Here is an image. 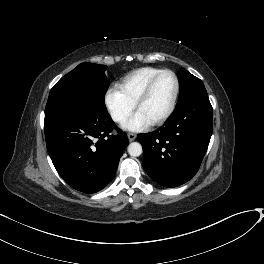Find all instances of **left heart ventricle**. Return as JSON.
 <instances>
[{
	"mask_svg": "<svg viewBox=\"0 0 264 264\" xmlns=\"http://www.w3.org/2000/svg\"><path fill=\"white\" fill-rule=\"evenodd\" d=\"M175 90V81L170 74H163L155 83L150 96L137 112L149 122L158 119L169 107Z\"/></svg>",
	"mask_w": 264,
	"mask_h": 264,
	"instance_id": "obj_1",
	"label": "left heart ventricle"
}]
</instances>
